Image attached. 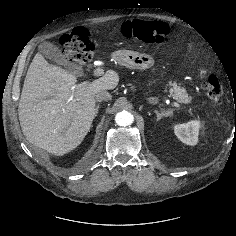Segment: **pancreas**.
<instances>
[{
  "instance_id": "1",
  "label": "pancreas",
  "mask_w": 236,
  "mask_h": 236,
  "mask_svg": "<svg viewBox=\"0 0 236 236\" xmlns=\"http://www.w3.org/2000/svg\"><path fill=\"white\" fill-rule=\"evenodd\" d=\"M173 88L170 89L171 95L180 103H189L191 96L187 93L185 88L180 87L176 83H169Z\"/></svg>"
}]
</instances>
